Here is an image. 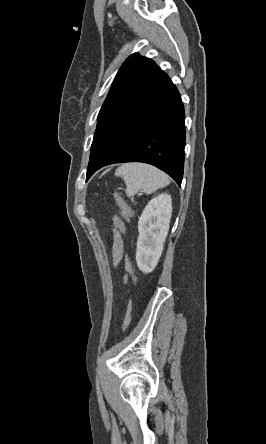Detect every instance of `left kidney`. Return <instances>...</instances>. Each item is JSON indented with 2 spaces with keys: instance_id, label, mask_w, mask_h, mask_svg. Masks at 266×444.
<instances>
[{
  "instance_id": "1",
  "label": "left kidney",
  "mask_w": 266,
  "mask_h": 444,
  "mask_svg": "<svg viewBox=\"0 0 266 444\" xmlns=\"http://www.w3.org/2000/svg\"><path fill=\"white\" fill-rule=\"evenodd\" d=\"M171 214V196L163 193L147 204L139 218L136 262L144 273H151L159 262L169 231Z\"/></svg>"
}]
</instances>
